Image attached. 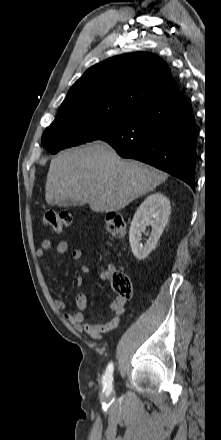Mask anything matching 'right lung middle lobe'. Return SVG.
<instances>
[{"label":"right lung middle lobe","instance_id":"dd1d6c3e","mask_svg":"<svg viewBox=\"0 0 221 440\" xmlns=\"http://www.w3.org/2000/svg\"><path fill=\"white\" fill-rule=\"evenodd\" d=\"M135 109L109 101H79L60 106L46 128L42 144L52 154L93 140L112 131Z\"/></svg>","mask_w":221,"mask_h":440}]
</instances>
